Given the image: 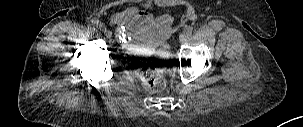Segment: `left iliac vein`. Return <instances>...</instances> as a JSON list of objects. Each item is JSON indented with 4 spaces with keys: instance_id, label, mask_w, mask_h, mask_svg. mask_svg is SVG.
<instances>
[{
    "instance_id": "1",
    "label": "left iliac vein",
    "mask_w": 303,
    "mask_h": 127,
    "mask_svg": "<svg viewBox=\"0 0 303 127\" xmlns=\"http://www.w3.org/2000/svg\"><path fill=\"white\" fill-rule=\"evenodd\" d=\"M186 38L181 34L180 36H179V42H180V44H185L186 43Z\"/></svg>"
}]
</instances>
